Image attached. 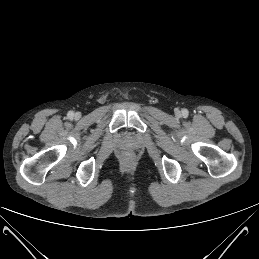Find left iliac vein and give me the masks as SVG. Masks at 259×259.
Masks as SVG:
<instances>
[{"instance_id": "4c4485c4", "label": "left iliac vein", "mask_w": 259, "mask_h": 259, "mask_svg": "<svg viewBox=\"0 0 259 259\" xmlns=\"http://www.w3.org/2000/svg\"><path fill=\"white\" fill-rule=\"evenodd\" d=\"M175 114H176V116H178V117L181 116V112H180L179 110H176V111H175Z\"/></svg>"}]
</instances>
